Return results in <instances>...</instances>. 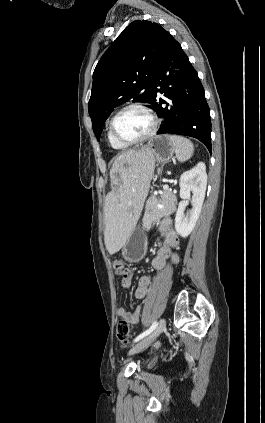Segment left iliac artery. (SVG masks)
Segmentation results:
<instances>
[{"label":"left iliac artery","instance_id":"left-iliac-artery-1","mask_svg":"<svg viewBox=\"0 0 265 423\" xmlns=\"http://www.w3.org/2000/svg\"><path fill=\"white\" fill-rule=\"evenodd\" d=\"M158 323L156 321L153 322V324L143 333H141L139 336H137L134 339V342H138L139 340L143 339L144 337H146L147 335H149L156 327H157Z\"/></svg>","mask_w":265,"mask_h":423}]
</instances>
